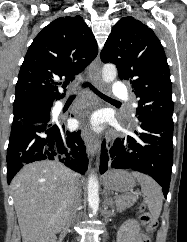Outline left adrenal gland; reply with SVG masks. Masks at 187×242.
<instances>
[{"label":"left adrenal gland","mask_w":187,"mask_h":242,"mask_svg":"<svg viewBox=\"0 0 187 242\" xmlns=\"http://www.w3.org/2000/svg\"><path fill=\"white\" fill-rule=\"evenodd\" d=\"M105 205L110 206V207H114V200L112 197H110V195L108 193H105V201H104Z\"/></svg>","instance_id":"a2214340"}]
</instances>
